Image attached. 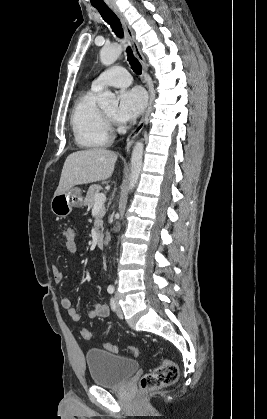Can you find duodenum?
<instances>
[{
	"label": "duodenum",
	"mask_w": 267,
	"mask_h": 419,
	"mask_svg": "<svg viewBox=\"0 0 267 419\" xmlns=\"http://www.w3.org/2000/svg\"><path fill=\"white\" fill-rule=\"evenodd\" d=\"M105 235L103 233H99L96 238L97 246L103 248L105 246Z\"/></svg>",
	"instance_id": "1"
}]
</instances>
